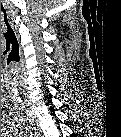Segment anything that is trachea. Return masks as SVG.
<instances>
[{"instance_id":"3493384b","label":"trachea","mask_w":121,"mask_h":137,"mask_svg":"<svg viewBox=\"0 0 121 137\" xmlns=\"http://www.w3.org/2000/svg\"><path fill=\"white\" fill-rule=\"evenodd\" d=\"M3 34L6 39L10 54L7 59V72L13 76V70L17 62L20 60V49L14 27L12 25L9 13L3 8Z\"/></svg>"}]
</instances>
